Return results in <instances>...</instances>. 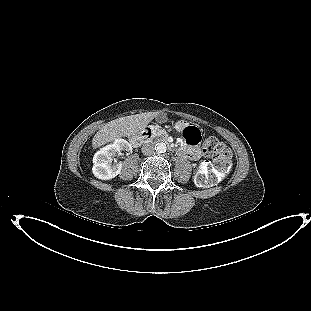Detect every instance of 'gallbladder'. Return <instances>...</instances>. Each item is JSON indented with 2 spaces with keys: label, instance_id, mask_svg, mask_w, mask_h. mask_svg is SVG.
I'll use <instances>...</instances> for the list:
<instances>
[{
  "label": "gallbladder",
  "instance_id": "obj_1",
  "mask_svg": "<svg viewBox=\"0 0 311 311\" xmlns=\"http://www.w3.org/2000/svg\"><path fill=\"white\" fill-rule=\"evenodd\" d=\"M157 120H158L159 122H165V121L167 120L166 114H165V113H160V114L158 115V117H157Z\"/></svg>",
  "mask_w": 311,
  "mask_h": 311
}]
</instances>
